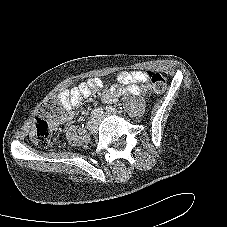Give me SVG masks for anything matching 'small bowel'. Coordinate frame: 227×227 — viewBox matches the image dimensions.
<instances>
[{"instance_id":"c3829d8e","label":"small bowel","mask_w":227,"mask_h":227,"mask_svg":"<svg viewBox=\"0 0 227 227\" xmlns=\"http://www.w3.org/2000/svg\"><path fill=\"white\" fill-rule=\"evenodd\" d=\"M148 77L145 71H123L116 77V83L105 87L99 78H90L80 84L59 93L62 111L51 118V125L57 126L68 123L74 118L73 108L81 100L95 91L102 90V100L116 102L122 95H140L149 91Z\"/></svg>"}]
</instances>
